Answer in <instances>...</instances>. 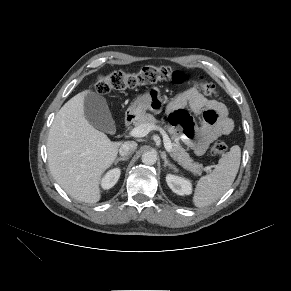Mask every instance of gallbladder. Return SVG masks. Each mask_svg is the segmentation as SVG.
<instances>
[{
	"mask_svg": "<svg viewBox=\"0 0 291 291\" xmlns=\"http://www.w3.org/2000/svg\"><path fill=\"white\" fill-rule=\"evenodd\" d=\"M84 114L87 121L95 128L113 134L115 122L104 97L89 92L84 98Z\"/></svg>",
	"mask_w": 291,
	"mask_h": 291,
	"instance_id": "bac80fb5",
	"label": "gallbladder"
}]
</instances>
